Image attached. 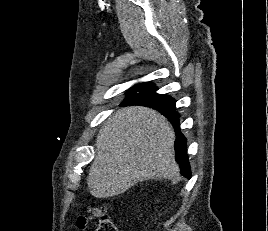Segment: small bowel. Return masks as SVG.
I'll return each instance as SVG.
<instances>
[{"mask_svg": "<svg viewBox=\"0 0 268 231\" xmlns=\"http://www.w3.org/2000/svg\"><path fill=\"white\" fill-rule=\"evenodd\" d=\"M94 216V211L92 213H90L89 215H80L76 218V224H77V228L80 231H86L87 230V224L89 221L92 220Z\"/></svg>", "mask_w": 268, "mask_h": 231, "instance_id": "obj_1", "label": "small bowel"}]
</instances>
